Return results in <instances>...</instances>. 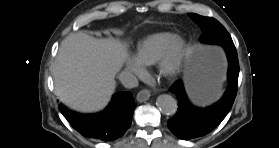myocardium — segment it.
<instances>
[{
	"label": "myocardium",
	"mask_w": 279,
	"mask_h": 148,
	"mask_svg": "<svg viewBox=\"0 0 279 148\" xmlns=\"http://www.w3.org/2000/svg\"><path fill=\"white\" fill-rule=\"evenodd\" d=\"M187 56V43L177 38L168 51L158 61V74L166 79H172L180 72Z\"/></svg>",
	"instance_id": "1"
}]
</instances>
